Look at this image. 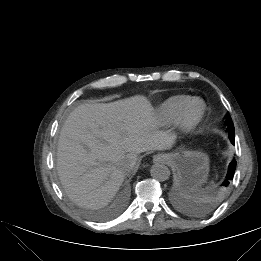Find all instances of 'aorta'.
<instances>
[{
    "label": "aorta",
    "instance_id": "obj_1",
    "mask_svg": "<svg viewBox=\"0 0 261 261\" xmlns=\"http://www.w3.org/2000/svg\"><path fill=\"white\" fill-rule=\"evenodd\" d=\"M150 174L157 181H166L170 177V170L166 165L155 164L151 167Z\"/></svg>",
    "mask_w": 261,
    "mask_h": 261
}]
</instances>
